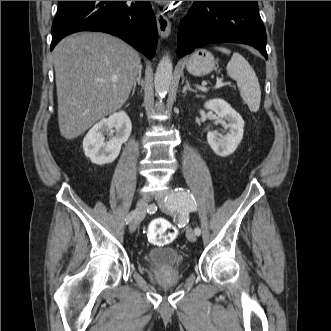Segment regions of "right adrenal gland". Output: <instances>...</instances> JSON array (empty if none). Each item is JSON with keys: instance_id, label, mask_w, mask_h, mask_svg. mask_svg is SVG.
<instances>
[{"instance_id": "right-adrenal-gland-1", "label": "right adrenal gland", "mask_w": 331, "mask_h": 331, "mask_svg": "<svg viewBox=\"0 0 331 331\" xmlns=\"http://www.w3.org/2000/svg\"><path fill=\"white\" fill-rule=\"evenodd\" d=\"M140 80H141V72H139L138 77L136 78V80L134 82L133 89H132V96L135 93L136 84L138 83L140 85Z\"/></svg>"}]
</instances>
